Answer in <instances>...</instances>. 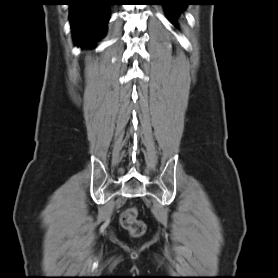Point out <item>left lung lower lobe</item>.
Listing matches in <instances>:
<instances>
[{
  "label": "left lung lower lobe",
  "mask_w": 278,
  "mask_h": 278,
  "mask_svg": "<svg viewBox=\"0 0 278 278\" xmlns=\"http://www.w3.org/2000/svg\"><path fill=\"white\" fill-rule=\"evenodd\" d=\"M165 6L172 12L173 15L184 9L188 5V0H163Z\"/></svg>",
  "instance_id": "1"
}]
</instances>
